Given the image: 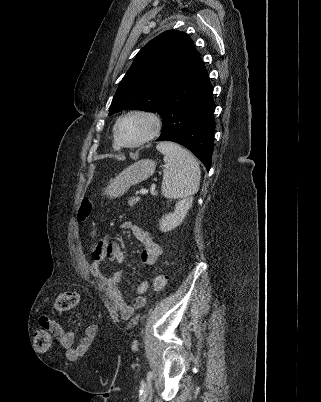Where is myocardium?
<instances>
[{"instance_id": "obj_1", "label": "myocardium", "mask_w": 321, "mask_h": 402, "mask_svg": "<svg viewBox=\"0 0 321 402\" xmlns=\"http://www.w3.org/2000/svg\"><path fill=\"white\" fill-rule=\"evenodd\" d=\"M132 116H141L150 122L149 132L134 143H124L119 136V126L122 121ZM162 120L158 114L147 109H131L120 115L113 127L114 140L120 148L135 149L144 146L152 141L161 131Z\"/></svg>"}]
</instances>
